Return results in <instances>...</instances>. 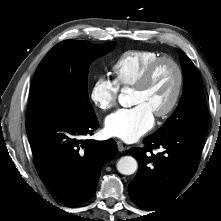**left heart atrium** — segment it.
Masks as SVG:
<instances>
[{"mask_svg": "<svg viewBox=\"0 0 221 221\" xmlns=\"http://www.w3.org/2000/svg\"><path fill=\"white\" fill-rule=\"evenodd\" d=\"M153 124V113L145 105L138 104L109 115L105 120V130L112 137L133 142L149 131Z\"/></svg>", "mask_w": 221, "mask_h": 221, "instance_id": "1", "label": "left heart atrium"}]
</instances>
